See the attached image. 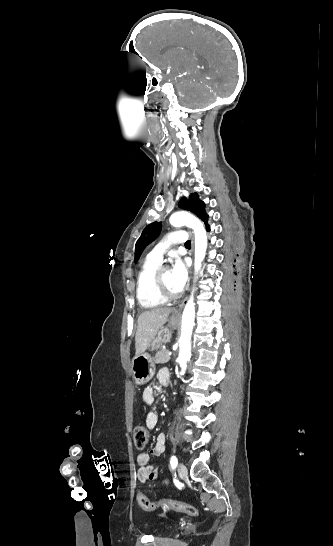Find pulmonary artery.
<instances>
[{
  "label": "pulmonary artery",
  "instance_id": "e3ab8cb5",
  "mask_svg": "<svg viewBox=\"0 0 333 546\" xmlns=\"http://www.w3.org/2000/svg\"><path fill=\"white\" fill-rule=\"evenodd\" d=\"M188 235L185 231H172L166 235V237L155 246V248L148 254L149 259L161 262L166 250L173 244L186 243Z\"/></svg>",
  "mask_w": 333,
  "mask_h": 546
}]
</instances>
